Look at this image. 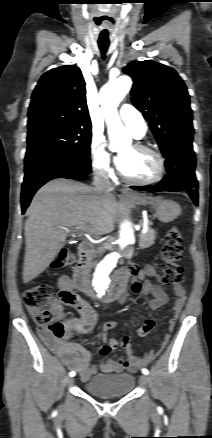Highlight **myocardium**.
Here are the masks:
<instances>
[{
	"label": "myocardium",
	"mask_w": 212,
	"mask_h": 438,
	"mask_svg": "<svg viewBox=\"0 0 212 438\" xmlns=\"http://www.w3.org/2000/svg\"><path fill=\"white\" fill-rule=\"evenodd\" d=\"M133 147L137 150L147 152L155 157L156 162H157V168H158L157 173L152 178H149L146 180H135V179H131L128 176H126L123 173V171L121 169H119V175L122 178V180L129 183V184L138 185V186L152 185V184H155V183L161 181L165 175V172H166V164H165V160L162 157V155L158 151H156L155 149H153L147 145L141 144V143H136L133 145Z\"/></svg>",
	"instance_id": "obj_1"
}]
</instances>
